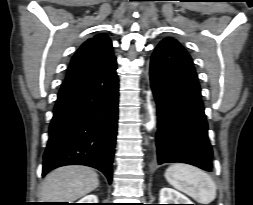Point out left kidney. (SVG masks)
<instances>
[{
    "label": "left kidney",
    "instance_id": "obj_1",
    "mask_svg": "<svg viewBox=\"0 0 253 205\" xmlns=\"http://www.w3.org/2000/svg\"><path fill=\"white\" fill-rule=\"evenodd\" d=\"M159 201L160 204H193L185 195L167 187L160 190Z\"/></svg>",
    "mask_w": 253,
    "mask_h": 205
}]
</instances>
